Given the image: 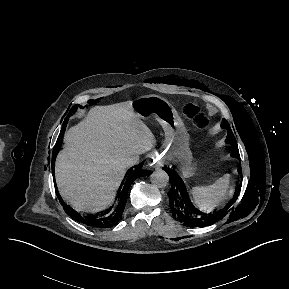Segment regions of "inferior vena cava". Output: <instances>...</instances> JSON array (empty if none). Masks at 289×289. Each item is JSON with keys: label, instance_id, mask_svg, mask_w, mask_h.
Returning a JSON list of instances; mask_svg holds the SVG:
<instances>
[{"label": "inferior vena cava", "instance_id": "602c4592", "mask_svg": "<svg viewBox=\"0 0 289 289\" xmlns=\"http://www.w3.org/2000/svg\"><path fill=\"white\" fill-rule=\"evenodd\" d=\"M138 158L137 157H132L130 160H129V162H128V165L129 166H133V165H135V164H137L138 163Z\"/></svg>", "mask_w": 289, "mask_h": 289}]
</instances>
